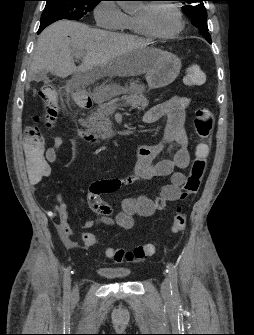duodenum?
Returning a JSON list of instances; mask_svg holds the SVG:
<instances>
[{"label":"duodenum","mask_w":254,"mask_h":335,"mask_svg":"<svg viewBox=\"0 0 254 335\" xmlns=\"http://www.w3.org/2000/svg\"><path fill=\"white\" fill-rule=\"evenodd\" d=\"M93 104V101L91 99V97L89 96H86V97H83L80 99L79 101V105L82 107V108H90ZM113 134V132H108V133H105V134H102V135H95V134H92L84 129H81L80 130V136L82 138H84L86 141H89V142H98L100 140H103L105 138H107L109 135Z\"/></svg>","instance_id":"1"}]
</instances>
